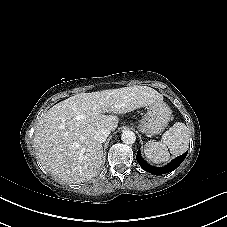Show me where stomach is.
I'll list each match as a JSON object with an SVG mask.
<instances>
[{
	"label": "stomach",
	"instance_id": "1",
	"mask_svg": "<svg viewBox=\"0 0 227 227\" xmlns=\"http://www.w3.org/2000/svg\"><path fill=\"white\" fill-rule=\"evenodd\" d=\"M171 109L161 101H156L148 106L145 116L138 122L140 132L149 135L160 134L171 119Z\"/></svg>",
	"mask_w": 227,
	"mask_h": 227
}]
</instances>
